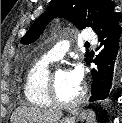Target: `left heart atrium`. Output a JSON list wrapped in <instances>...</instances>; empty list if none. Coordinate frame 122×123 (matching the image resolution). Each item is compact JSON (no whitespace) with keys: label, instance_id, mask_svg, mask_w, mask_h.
<instances>
[{"label":"left heart atrium","instance_id":"left-heart-atrium-1","mask_svg":"<svg viewBox=\"0 0 122 123\" xmlns=\"http://www.w3.org/2000/svg\"><path fill=\"white\" fill-rule=\"evenodd\" d=\"M69 73L75 82L82 84L84 73L80 64H76L73 68H71Z\"/></svg>","mask_w":122,"mask_h":123}]
</instances>
